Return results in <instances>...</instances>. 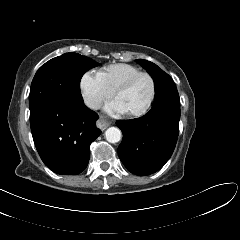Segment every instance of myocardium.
<instances>
[{
    "mask_svg": "<svg viewBox=\"0 0 240 240\" xmlns=\"http://www.w3.org/2000/svg\"><path fill=\"white\" fill-rule=\"evenodd\" d=\"M143 76H146L150 79L151 84H152V93H151V97H150L148 103L142 109H140L138 111L128 112L129 115L133 116V117H141V116L147 114L150 111V109L152 108L155 98H156V93H157V84H156V80H155L154 76L148 72L137 73V74L133 75L132 77H130L129 79H127L126 81H124L115 90V95L118 97V95L120 93H122L123 91L130 88L140 77H143Z\"/></svg>",
    "mask_w": 240,
    "mask_h": 240,
    "instance_id": "f54148a6",
    "label": "myocardium"
}]
</instances>
